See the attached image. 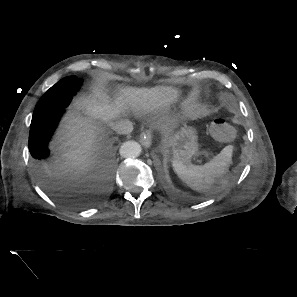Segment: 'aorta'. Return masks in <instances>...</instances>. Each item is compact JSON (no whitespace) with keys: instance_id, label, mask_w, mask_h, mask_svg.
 <instances>
[{"instance_id":"1","label":"aorta","mask_w":297,"mask_h":297,"mask_svg":"<svg viewBox=\"0 0 297 297\" xmlns=\"http://www.w3.org/2000/svg\"><path fill=\"white\" fill-rule=\"evenodd\" d=\"M141 145L135 141L124 142L120 147V155L124 158H135L141 153Z\"/></svg>"}]
</instances>
